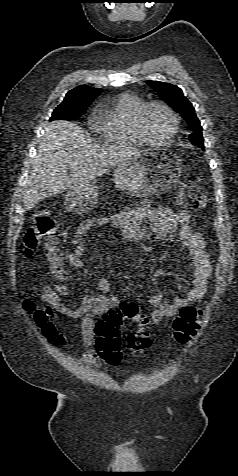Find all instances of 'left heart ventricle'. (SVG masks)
I'll return each instance as SVG.
<instances>
[{
	"mask_svg": "<svg viewBox=\"0 0 238 476\" xmlns=\"http://www.w3.org/2000/svg\"><path fill=\"white\" fill-rule=\"evenodd\" d=\"M144 122L149 135L159 140L166 138L173 128L171 117L159 106H153L147 111Z\"/></svg>",
	"mask_w": 238,
	"mask_h": 476,
	"instance_id": "1",
	"label": "left heart ventricle"
}]
</instances>
